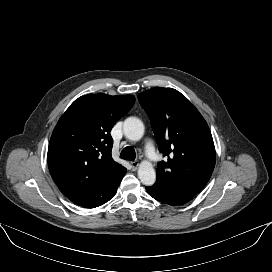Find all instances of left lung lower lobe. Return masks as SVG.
I'll return each instance as SVG.
<instances>
[{
  "label": "left lung lower lobe",
  "mask_w": 272,
  "mask_h": 272,
  "mask_svg": "<svg viewBox=\"0 0 272 272\" xmlns=\"http://www.w3.org/2000/svg\"><path fill=\"white\" fill-rule=\"evenodd\" d=\"M146 190L148 194L154 199L171 206L184 204L195 196L193 194L179 190L160 188L155 186L146 187Z\"/></svg>",
  "instance_id": "0a47b994"
}]
</instances>
